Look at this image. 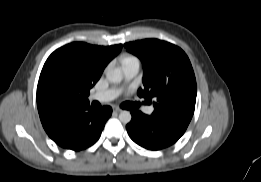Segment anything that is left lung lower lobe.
Instances as JSON below:
<instances>
[{
  "label": "left lung lower lobe",
  "instance_id": "0a47b994",
  "mask_svg": "<svg viewBox=\"0 0 261 182\" xmlns=\"http://www.w3.org/2000/svg\"><path fill=\"white\" fill-rule=\"evenodd\" d=\"M132 120L126 129L130 138L149 150H160L174 144L188 124L155 118L141 111H131Z\"/></svg>",
  "mask_w": 261,
  "mask_h": 182
}]
</instances>
